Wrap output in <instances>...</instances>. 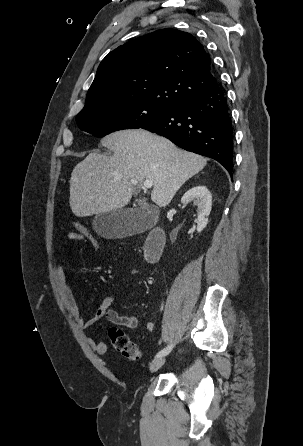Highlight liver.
<instances>
[{
  "label": "liver",
  "instance_id": "obj_1",
  "mask_svg": "<svg viewBox=\"0 0 303 446\" xmlns=\"http://www.w3.org/2000/svg\"><path fill=\"white\" fill-rule=\"evenodd\" d=\"M101 144L113 155L92 152L71 173L70 207L78 217L121 209L145 180L153 182L152 202L165 207L207 164L204 157L143 129L117 131Z\"/></svg>",
  "mask_w": 303,
  "mask_h": 446
}]
</instances>
